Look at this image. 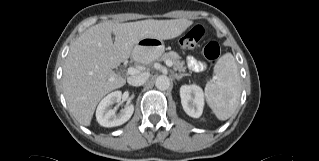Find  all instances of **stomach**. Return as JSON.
I'll list each match as a JSON object with an SVG mask.
<instances>
[{"mask_svg": "<svg viewBox=\"0 0 319 161\" xmlns=\"http://www.w3.org/2000/svg\"><path fill=\"white\" fill-rule=\"evenodd\" d=\"M164 43L157 38H143L133 49V58L140 63L148 64L158 58L164 52Z\"/></svg>", "mask_w": 319, "mask_h": 161, "instance_id": "1", "label": "stomach"}]
</instances>
